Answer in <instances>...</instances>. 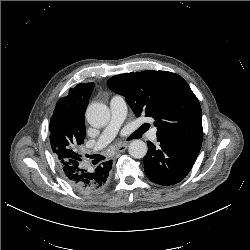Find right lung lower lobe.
Masks as SVG:
<instances>
[{
	"mask_svg": "<svg viewBox=\"0 0 250 250\" xmlns=\"http://www.w3.org/2000/svg\"><path fill=\"white\" fill-rule=\"evenodd\" d=\"M58 167L65 180L84 194H91L102 190L109 181L112 162L106 161L96 168H84L81 160L70 159Z\"/></svg>",
	"mask_w": 250,
	"mask_h": 250,
	"instance_id": "1",
	"label": "right lung lower lobe"
}]
</instances>
